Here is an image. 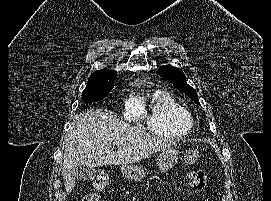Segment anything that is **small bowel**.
I'll return each instance as SVG.
<instances>
[{
  "instance_id": "obj_1",
  "label": "small bowel",
  "mask_w": 271,
  "mask_h": 201,
  "mask_svg": "<svg viewBox=\"0 0 271 201\" xmlns=\"http://www.w3.org/2000/svg\"><path fill=\"white\" fill-rule=\"evenodd\" d=\"M188 183L192 189L201 191L207 184V175L202 170L195 171L189 176Z\"/></svg>"
}]
</instances>
